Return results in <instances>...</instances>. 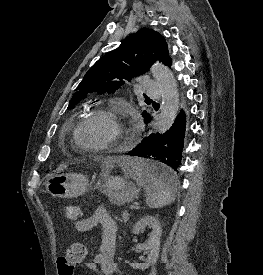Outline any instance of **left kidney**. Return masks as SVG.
<instances>
[{
	"mask_svg": "<svg viewBox=\"0 0 263 275\" xmlns=\"http://www.w3.org/2000/svg\"><path fill=\"white\" fill-rule=\"evenodd\" d=\"M152 229L148 240L144 244L136 245V248L143 250L147 254V259L144 263H131L133 269L145 270L152 264L156 263L159 258L160 237L162 229L158 218L154 216H144L133 227V233L138 235L144 228Z\"/></svg>",
	"mask_w": 263,
	"mask_h": 275,
	"instance_id": "left-kidney-1",
	"label": "left kidney"
}]
</instances>
